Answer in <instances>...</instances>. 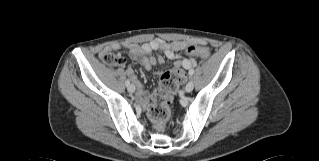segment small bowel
<instances>
[{
    "instance_id": "c3829d8e",
    "label": "small bowel",
    "mask_w": 319,
    "mask_h": 161,
    "mask_svg": "<svg viewBox=\"0 0 319 161\" xmlns=\"http://www.w3.org/2000/svg\"><path fill=\"white\" fill-rule=\"evenodd\" d=\"M201 44V43H199ZM191 43H186L179 40L165 41L161 38H154L148 42L137 44L128 43L124 46L128 48L130 54L137 59L145 69L150 70L158 64L164 62L163 57H155L151 55L153 51H161L168 59H175V67H179L183 71V82L186 81V71L196 65V59L199 57L201 47L196 48L194 56L181 58L180 52L187 50ZM123 45L120 43H114L106 46L103 53L118 50ZM126 75L131 78V81L137 89L136 102L139 105H146L148 102V94L143 89L141 82L138 80L135 70L132 67H128L125 71Z\"/></svg>"
}]
</instances>
